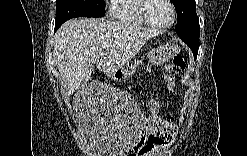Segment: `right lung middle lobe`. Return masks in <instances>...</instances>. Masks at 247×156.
<instances>
[{
  "mask_svg": "<svg viewBox=\"0 0 247 156\" xmlns=\"http://www.w3.org/2000/svg\"><path fill=\"white\" fill-rule=\"evenodd\" d=\"M105 15L103 0H56L55 27L74 17H102Z\"/></svg>",
  "mask_w": 247,
  "mask_h": 156,
  "instance_id": "1",
  "label": "right lung middle lobe"
}]
</instances>
